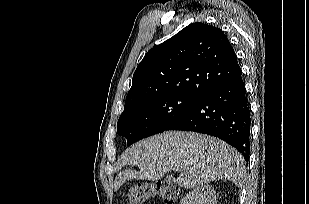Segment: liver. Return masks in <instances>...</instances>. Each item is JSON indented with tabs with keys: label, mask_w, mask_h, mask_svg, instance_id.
<instances>
[{
	"label": "liver",
	"mask_w": 309,
	"mask_h": 204,
	"mask_svg": "<svg viewBox=\"0 0 309 204\" xmlns=\"http://www.w3.org/2000/svg\"><path fill=\"white\" fill-rule=\"evenodd\" d=\"M136 165L139 171L120 172L114 182L117 191L131 179L157 181L168 171L180 173V187L228 179L240 186L246 172L243 156L220 139L195 132L168 131L135 143L123 156L121 166Z\"/></svg>",
	"instance_id": "obj_1"
}]
</instances>
